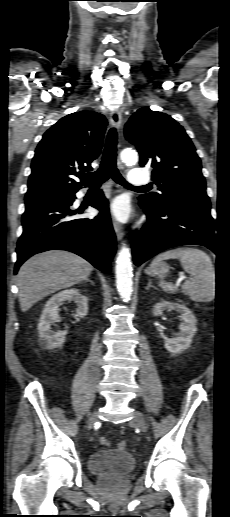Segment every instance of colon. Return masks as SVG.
<instances>
[{"instance_id":"1","label":"colon","mask_w":230,"mask_h":517,"mask_svg":"<svg viewBox=\"0 0 230 517\" xmlns=\"http://www.w3.org/2000/svg\"><path fill=\"white\" fill-rule=\"evenodd\" d=\"M102 444L107 445V444H108V442H107L105 439H102ZM128 447H129V444H128V442H127V441H120V442L118 443V448H119L120 450H127V449H128Z\"/></svg>"}]
</instances>
